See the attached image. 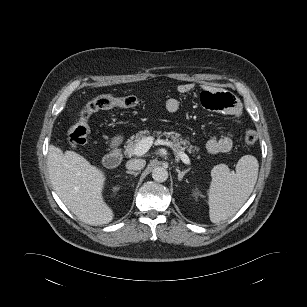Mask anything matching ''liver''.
I'll return each mask as SVG.
<instances>
[{"label":"liver","instance_id":"obj_1","mask_svg":"<svg viewBox=\"0 0 307 307\" xmlns=\"http://www.w3.org/2000/svg\"><path fill=\"white\" fill-rule=\"evenodd\" d=\"M47 166L52 186L67 208L89 225L107 224L114 213L102 196L104 172L74 151L50 145Z\"/></svg>","mask_w":307,"mask_h":307}]
</instances>
